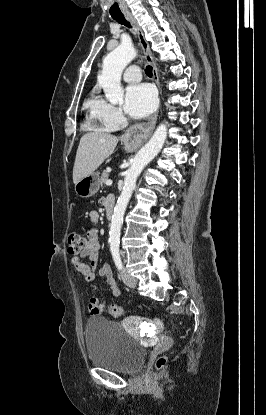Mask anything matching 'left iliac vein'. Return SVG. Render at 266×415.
<instances>
[{"mask_svg":"<svg viewBox=\"0 0 266 415\" xmlns=\"http://www.w3.org/2000/svg\"><path fill=\"white\" fill-rule=\"evenodd\" d=\"M121 278H122L124 284L127 285L128 287L133 288L137 284V280L133 276H131L129 274V272H127L126 269H122Z\"/></svg>","mask_w":266,"mask_h":415,"instance_id":"1","label":"left iliac vein"}]
</instances>
